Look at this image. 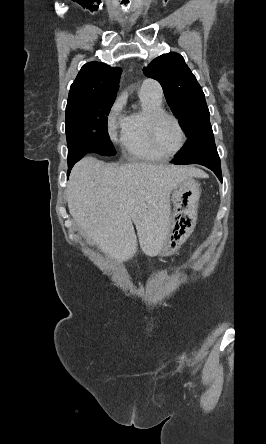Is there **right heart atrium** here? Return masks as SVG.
Segmentation results:
<instances>
[{"label": "right heart atrium", "instance_id": "d8ad5b80", "mask_svg": "<svg viewBox=\"0 0 266 444\" xmlns=\"http://www.w3.org/2000/svg\"><path fill=\"white\" fill-rule=\"evenodd\" d=\"M125 98L120 96L112 105L106 121L107 134L111 141H115L118 134L122 133L126 118L123 113Z\"/></svg>", "mask_w": 266, "mask_h": 444}]
</instances>
